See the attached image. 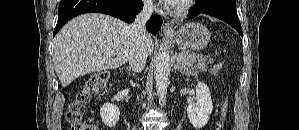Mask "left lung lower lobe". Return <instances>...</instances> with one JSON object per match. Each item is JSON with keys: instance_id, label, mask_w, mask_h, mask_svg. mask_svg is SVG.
Instances as JSON below:
<instances>
[{"instance_id": "0a47b994", "label": "left lung lower lobe", "mask_w": 299, "mask_h": 130, "mask_svg": "<svg viewBox=\"0 0 299 130\" xmlns=\"http://www.w3.org/2000/svg\"><path fill=\"white\" fill-rule=\"evenodd\" d=\"M196 2V7L189 10L191 16L188 19H192L200 13L207 14L225 21L243 36L236 13L235 0H197Z\"/></svg>"}]
</instances>
